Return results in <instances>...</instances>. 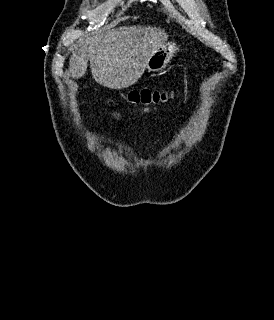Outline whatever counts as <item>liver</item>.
Instances as JSON below:
<instances>
[{"label": "liver", "mask_w": 274, "mask_h": 320, "mask_svg": "<svg viewBox=\"0 0 274 320\" xmlns=\"http://www.w3.org/2000/svg\"><path fill=\"white\" fill-rule=\"evenodd\" d=\"M167 38L164 30L150 26L101 30L95 38L78 40L71 46L69 74L71 78H82L90 62L97 84L111 90L129 88L142 78L148 58L156 48L164 46Z\"/></svg>", "instance_id": "1"}]
</instances>
